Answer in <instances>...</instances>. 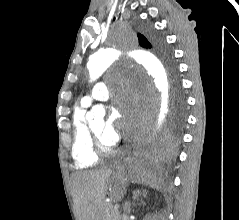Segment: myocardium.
I'll use <instances>...</instances> for the list:
<instances>
[{
    "instance_id": "myocardium-1",
    "label": "myocardium",
    "mask_w": 239,
    "mask_h": 220,
    "mask_svg": "<svg viewBox=\"0 0 239 220\" xmlns=\"http://www.w3.org/2000/svg\"><path fill=\"white\" fill-rule=\"evenodd\" d=\"M89 131L92 138L93 149L98 156H105L114 152L113 146H106L91 126L89 127Z\"/></svg>"
}]
</instances>
